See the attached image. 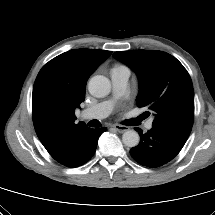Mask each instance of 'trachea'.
I'll use <instances>...</instances> for the list:
<instances>
[{"mask_svg": "<svg viewBox=\"0 0 215 215\" xmlns=\"http://www.w3.org/2000/svg\"><path fill=\"white\" fill-rule=\"evenodd\" d=\"M135 121H136V120L134 119L132 122H135ZM89 125L92 126V127H100V126H101L100 122L97 121V120L91 121V122L89 123Z\"/></svg>", "mask_w": 215, "mask_h": 215, "instance_id": "3493384b", "label": "trachea"}]
</instances>
